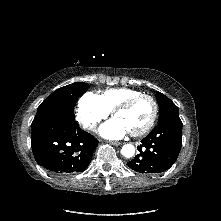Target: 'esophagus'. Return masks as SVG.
<instances>
[{"label":"esophagus","mask_w":221,"mask_h":221,"mask_svg":"<svg viewBox=\"0 0 221 221\" xmlns=\"http://www.w3.org/2000/svg\"><path fill=\"white\" fill-rule=\"evenodd\" d=\"M109 143L114 146H119L122 144L121 142H118V141H109Z\"/></svg>","instance_id":"34e87169"}]
</instances>
